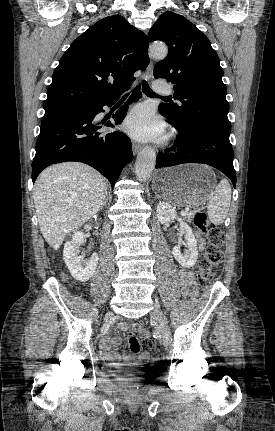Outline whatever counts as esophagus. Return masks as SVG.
<instances>
[{
  "label": "esophagus",
  "instance_id": "34e87169",
  "mask_svg": "<svg viewBox=\"0 0 275 431\" xmlns=\"http://www.w3.org/2000/svg\"><path fill=\"white\" fill-rule=\"evenodd\" d=\"M152 72H153V63H152V61H150L149 64H148V66H147V68H146V70H145V72H144V76H145V78L147 80L151 79ZM132 148H133V154L135 155L141 149V146L134 143L133 146H132Z\"/></svg>",
  "mask_w": 275,
  "mask_h": 431
}]
</instances>
